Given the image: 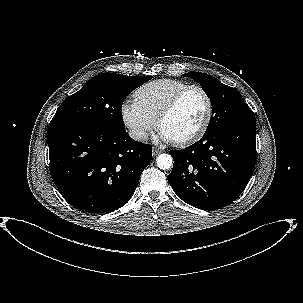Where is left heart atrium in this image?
I'll list each match as a JSON object with an SVG mask.
<instances>
[{
	"label": "left heart atrium",
	"mask_w": 303,
	"mask_h": 303,
	"mask_svg": "<svg viewBox=\"0 0 303 303\" xmlns=\"http://www.w3.org/2000/svg\"><path fill=\"white\" fill-rule=\"evenodd\" d=\"M158 138L167 142L174 141L172 137L162 129H160V131L158 132Z\"/></svg>",
	"instance_id": "39dd6f15"
}]
</instances>
